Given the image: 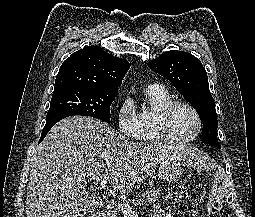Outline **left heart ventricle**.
<instances>
[{
  "instance_id": "left-heart-ventricle-1",
  "label": "left heart ventricle",
  "mask_w": 255,
  "mask_h": 217,
  "mask_svg": "<svg viewBox=\"0 0 255 217\" xmlns=\"http://www.w3.org/2000/svg\"><path fill=\"white\" fill-rule=\"evenodd\" d=\"M169 126L175 136L189 137L197 128V119L188 107L178 105L170 113Z\"/></svg>"
}]
</instances>
